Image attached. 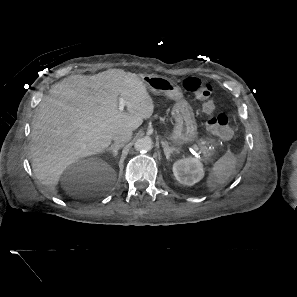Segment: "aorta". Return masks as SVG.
<instances>
[{"label": "aorta", "instance_id": "aorta-1", "mask_svg": "<svg viewBox=\"0 0 297 297\" xmlns=\"http://www.w3.org/2000/svg\"><path fill=\"white\" fill-rule=\"evenodd\" d=\"M152 147H153V143L151 138L149 137H143V138L137 139L134 144L135 150L142 153L150 151Z\"/></svg>", "mask_w": 297, "mask_h": 297}]
</instances>
